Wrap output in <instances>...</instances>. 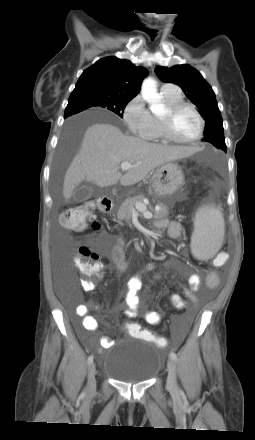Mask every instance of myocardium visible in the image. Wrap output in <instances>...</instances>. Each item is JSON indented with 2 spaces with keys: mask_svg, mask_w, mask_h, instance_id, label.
<instances>
[{
  "mask_svg": "<svg viewBox=\"0 0 255 440\" xmlns=\"http://www.w3.org/2000/svg\"><path fill=\"white\" fill-rule=\"evenodd\" d=\"M184 109L191 110L196 115V117L199 121V129H198L197 134L193 138L187 139V140L178 139L174 135L173 130H172L173 118L180 111H182ZM159 121H160L161 129H162V133H163V138L169 142L181 144V145L193 144V143L197 142L198 140H200L203 135L204 128H205V120H204L203 116L201 115V113L192 104H189L186 102H181V103H177L175 105L168 106L167 114L163 117H160Z\"/></svg>",
  "mask_w": 255,
  "mask_h": 440,
  "instance_id": "myocardium-1",
  "label": "myocardium"
}]
</instances>
